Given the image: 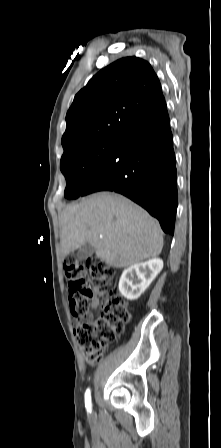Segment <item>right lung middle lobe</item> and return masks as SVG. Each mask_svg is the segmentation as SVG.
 Here are the masks:
<instances>
[{
  "label": "right lung middle lobe",
  "instance_id": "1",
  "mask_svg": "<svg viewBox=\"0 0 221 448\" xmlns=\"http://www.w3.org/2000/svg\"><path fill=\"white\" fill-rule=\"evenodd\" d=\"M118 137L99 139L79 145L61 158L60 168L67 185L64 196L76 199L82 196L87 184L103 165Z\"/></svg>",
  "mask_w": 221,
  "mask_h": 448
}]
</instances>
